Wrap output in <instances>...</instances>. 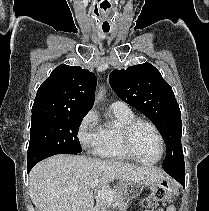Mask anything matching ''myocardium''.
Here are the masks:
<instances>
[{"label":"myocardium","mask_w":209,"mask_h":211,"mask_svg":"<svg viewBox=\"0 0 209 211\" xmlns=\"http://www.w3.org/2000/svg\"><path fill=\"white\" fill-rule=\"evenodd\" d=\"M141 125H147L150 128H152V130L156 133L159 143H160L159 157L156 160L151 161V162H147L140 159L133 150V145H132L133 136L137 128ZM122 147L125 153L130 157V159L134 160L135 162L139 164L146 165V166H153V165L158 164L164 157L165 150H166L165 140L159 128L152 121L143 119V118H135L134 120H132L131 122L125 125L122 131Z\"/></svg>","instance_id":"myocardium-1"}]
</instances>
